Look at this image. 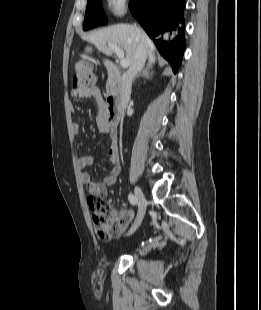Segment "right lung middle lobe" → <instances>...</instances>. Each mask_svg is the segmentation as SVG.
<instances>
[{
	"mask_svg": "<svg viewBox=\"0 0 261 310\" xmlns=\"http://www.w3.org/2000/svg\"><path fill=\"white\" fill-rule=\"evenodd\" d=\"M107 23V18L102 9V0H87L84 20V30Z\"/></svg>",
	"mask_w": 261,
	"mask_h": 310,
	"instance_id": "obj_1",
	"label": "right lung middle lobe"
}]
</instances>
